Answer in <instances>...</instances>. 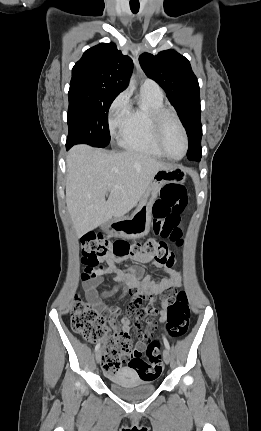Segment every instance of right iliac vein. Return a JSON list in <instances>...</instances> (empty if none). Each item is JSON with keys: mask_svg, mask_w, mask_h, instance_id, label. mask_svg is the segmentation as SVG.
Here are the masks:
<instances>
[{"mask_svg": "<svg viewBox=\"0 0 261 431\" xmlns=\"http://www.w3.org/2000/svg\"><path fill=\"white\" fill-rule=\"evenodd\" d=\"M95 358H96L97 363H99L101 360V351L100 350L97 351Z\"/></svg>", "mask_w": 261, "mask_h": 431, "instance_id": "63e3f726", "label": "right iliac vein"}]
</instances>
